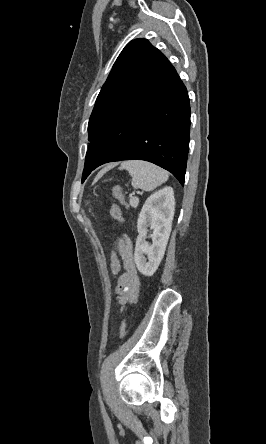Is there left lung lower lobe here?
Listing matches in <instances>:
<instances>
[{
    "label": "left lung lower lobe",
    "mask_w": 266,
    "mask_h": 444,
    "mask_svg": "<svg viewBox=\"0 0 266 444\" xmlns=\"http://www.w3.org/2000/svg\"><path fill=\"white\" fill-rule=\"evenodd\" d=\"M190 104L176 70L112 117L91 141L82 181L98 166L139 159L171 172L184 184Z\"/></svg>",
    "instance_id": "1"
}]
</instances>
